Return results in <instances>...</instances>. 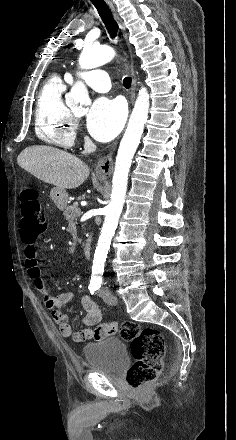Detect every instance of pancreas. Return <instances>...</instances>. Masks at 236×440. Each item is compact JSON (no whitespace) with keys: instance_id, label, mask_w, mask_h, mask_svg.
Returning a JSON list of instances; mask_svg holds the SVG:
<instances>
[{"instance_id":"cf45deb5","label":"pancreas","mask_w":236,"mask_h":440,"mask_svg":"<svg viewBox=\"0 0 236 440\" xmlns=\"http://www.w3.org/2000/svg\"><path fill=\"white\" fill-rule=\"evenodd\" d=\"M77 209H79L78 204L67 206L63 213L66 220H73L74 218L78 217L79 215L76 213Z\"/></svg>"}]
</instances>
